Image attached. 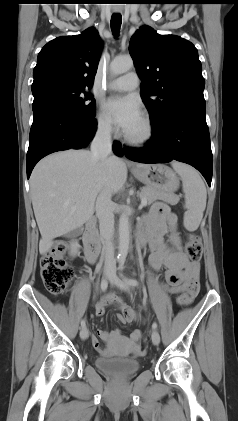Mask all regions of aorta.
Wrapping results in <instances>:
<instances>
[{
    "label": "aorta",
    "mask_w": 238,
    "mask_h": 421,
    "mask_svg": "<svg viewBox=\"0 0 238 421\" xmlns=\"http://www.w3.org/2000/svg\"><path fill=\"white\" fill-rule=\"evenodd\" d=\"M133 66V60L130 57L116 58L110 63V71L113 75H120L132 69ZM129 242V218L126 214H122L119 218V251L117 257L120 262H124L127 257Z\"/></svg>",
    "instance_id": "obj_1"
}]
</instances>
